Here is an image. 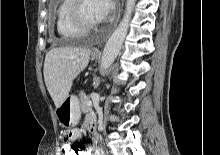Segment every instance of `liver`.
Masks as SVG:
<instances>
[{"mask_svg": "<svg viewBox=\"0 0 220 155\" xmlns=\"http://www.w3.org/2000/svg\"><path fill=\"white\" fill-rule=\"evenodd\" d=\"M91 51L76 47L52 48L45 57L44 81L56 108L68 97L73 80L86 68Z\"/></svg>", "mask_w": 220, "mask_h": 155, "instance_id": "6515ba94", "label": "liver"}]
</instances>
